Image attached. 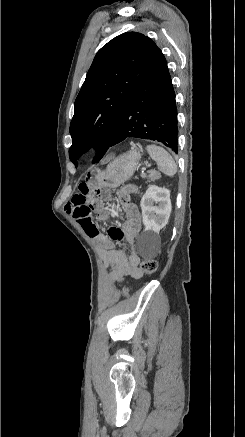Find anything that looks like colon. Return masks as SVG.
<instances>
[{"label": "colon", "mask_w": 245, "mask_h": 437, "mask_svg": "<svg viewBox=\"0 0 245 437\" xmlns=\"http://www.w3.org/2000/svg\"><path fill=\"white\" fill-rule=\"evenodd\" d=\"M136 191H137V188L133 185L124 186L119 191V194H118L119 200L123 203H127L130 199V196L133 193H136ZM140 268L144 274L151 275V274L156 272V270L158 268V262H157V260H155L153 258H149V259L144 260L141 263Z\"/></svg>", "instance_id": "5ec220e1"}]
</instances>
